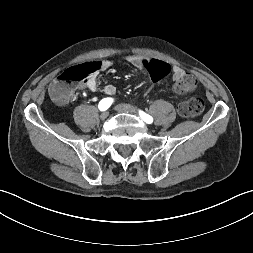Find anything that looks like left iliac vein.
I'll return each instance as SVG.
<instances>
[{
  "label": "left iliac vein",
  "mask_w": 253,
  "mask_h": 253,
  "mask_svg": "<svg viewBox=\"0 0 253 253\" xmlns=\"http://www.w3.org/2000/svg\"><path fill=\"white\" fill-rule=\"evenodd\" d=\"M115 110H117L118 112H125V113H132V114L137 113L136 108L129 104H119L115 107Z\"/></svg>",
  "instance_id": "obj_1"
}]
</instances>
